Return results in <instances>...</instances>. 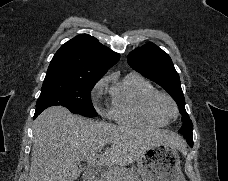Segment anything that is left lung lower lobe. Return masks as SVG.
Wrapping results in <instances>:
<instances>
[{
  "instance_id": "obj_1",
  "label": "left lung lower lobe",
  "mask_w": 228,
  "mask_h": 181,
  "mask_svg": "<svg viewBox=\"0 0 228 181\" xmlns=\"http://www.w3.org/2000/svg\"><path fill=\"white\" fill-rule=\"evenodd\" d=\"M184 135V138L186 139L187 143L193 147V138H192V132H187Z\"/></svg>"
}]
</instances>
